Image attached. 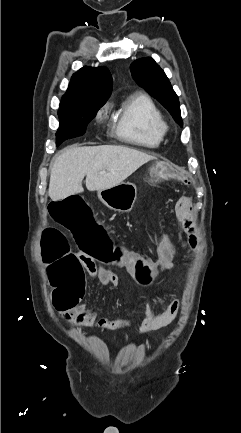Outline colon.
<instances>
[{
    "instance_id": "colon-1",
    "label": "colon",
    "mask_w": 241,
    "mask_h": 433,
    "mask_svg": "<svg viewBox=\"0 0 241 433\" xmlns=\"http://www.w3.org/2000/svg\"><path fill=\"white\" fill-rule=\"evenodd\" d=\"M145 165L147 168L155 167L151 175L155 177L159 173L161 185L176 186L177 179H191V174L185 168H171L170 161H162L160 157H149ZM151 175H148V178H151ZM81 197L80 192H75L72 198H64L62 202L50 200L49 206H46V215H50L51 221H59L63 229H71L70 239L81 247L84 257H89L91 252H101V261L113 262L114 254L111 251L114 246L106 238L107 232L103 230L105 223L102 220H95V205H86L81 201ZM151 214L159 216L161 209L153 207ZM162 218L167 220L169 215L164 213ZM174 235L180 236V231H163V236H167V240H163L158 246L161 252L175 249ZM40 254L44 262L40 266L41 272H48L50 276L54 309L57 312H74L75 305H81L85 297V268L79 265L77 257L69 250L65 236L54 228H48L43 232ZM93 258H96V255H93ZM114 262H117V259H114ZM130 263L140 275L151 276L150 268L141 258L132 257Z\"/></svg>"
}]
</instances>
